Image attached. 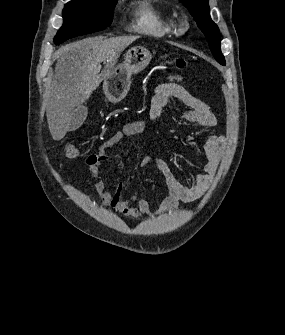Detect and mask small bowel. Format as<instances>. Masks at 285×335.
I'll use <instances>...</instances> for the list:
<instances>
[{"instance_id":"small-bowel-1","label":"small bowel","mask_w":285,"mask_h":335,"mask_svg":"<svg viewBox=\"0 0 285 335\" xmlns=\"http://www.w3.org/2000/svg\"><path fill=\"white\" fill-rule=\"evenodd\" d=\"M179 76H171L165 82L159 84L151 98L149 115L153 121H159L164 110L172 101H177L184 106L179 111V116L192 127L211 128L217 123L211 109L201 100L197 99L180 84ZM147 127L143 121L132 120L125 124L123 128L106 140L98 153L89 156L86 160L90 175L93 180V187L97 192L101 202L105 206H110L120 214L138 218L142 215L154 216L177 209L179 202H193L204 195L208 190L220 163L225 147V138L221 135L211 136L203 147L205 161L201 169L203 173L196 175L190 185H186L178 180L168 164L158 157H147L141 165L155 164L165 178L168 196L161 202L157 211L152 212L146 198L134 194L125 198L120 184L114 192H109L106 184L98 178L97 172L100 166L109 161L110 149L123 140L144 134ZM136 204V206H133Z\"/></svg>"}]
</instances>
